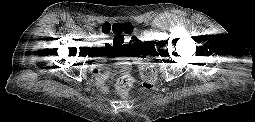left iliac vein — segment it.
Returning <instances> with one entry per match:
<instances>
[{
  "label": "left iliac vein",
  "mask_w": 255,
  "mask_h": 122,
  "mask_svg": "<svg viewBox=\"0 0 255 122\" xmlns=\"http://www.w3.org/2000/svg\"><path fill=\"white\" fill-rule=\"evenodd\" d=\"M144 39H145V40H149V39H150V36L147 35V34H145V35H144Z\"/></svg>",
  "instance_id": "obj_1"
}]
</instances>
